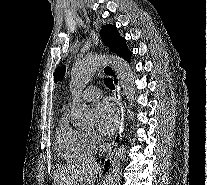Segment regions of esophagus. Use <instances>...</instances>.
Masks as SVG:
<instances>
[{
  "mask_svg": "<svg viewBox=\"0 0 207 185\" xmlns=\"http://www.w3.org/2000/svg\"><path fill=\"white\" fill-rule=\"evenodd\" d=\"M103 71L109 75L114 83L115 86V90L113 92L114 97L120 102L121 104V97H120V83H119V77L116 73V68L112 67V66H107L103 68ZM117 119L118 120V124L117 127L119 128L118 131H116V135L115 138L108 150L107 156L105 158V160H101V167H100V171L101 173H108V163L110 164V157H114L115 152L118 148V144L121 140V136H125V131H122V128L126 127V111H125V107L121 106L120 110L117 111Z\"/></svg>",
  "mask_w": 207,
  "mask_h": 185,
  "instance_id": "obj_1",
  "label": "esophagus"
}]
</instances>
